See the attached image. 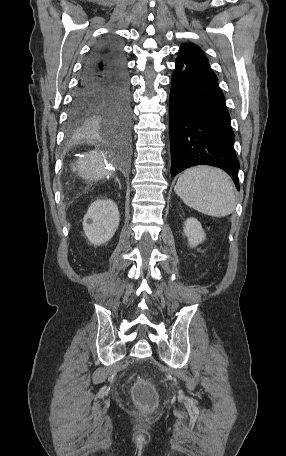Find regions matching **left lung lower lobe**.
Wrapping results in <instances>:
<instances>
[{"instance_id":"1","label":"left lung lower lobe","mask_w":286,"mask_h":456,"mask_svg":"<svg viewBox=\"0 0 286 456\" xmlns=\"http://www.w3.org/2000/svg\"><path fill=\"white\" fill-rule=\"evenodd\" d=\"M171 175L195 165L226 171L239 190V161L225 97L207 66L176 60L171 79Z\"/></svg>"}]
</instances>
